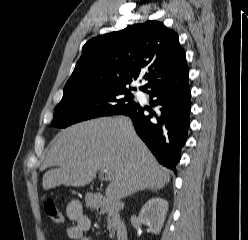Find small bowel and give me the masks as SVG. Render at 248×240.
I'll use <instances>...</instances> for the list:
<instances>
[{"label":"small bowel","mask_w":248,"mask_h":240,"mask_svg":"<svg viewBox=\"0 0 248 240\" xmlns=\"http://www.w3.org/2000/svg\"><path fill=\"white\" fill-rule=\"evenodd\" d=\"M67 217L73 222L67 230L70 240H91L85 232L91 226L90 218L84 213L82 205L77 200H72L66 207Z\"/></svg>","instance_id":"1"}]
</instances>
